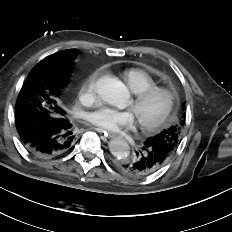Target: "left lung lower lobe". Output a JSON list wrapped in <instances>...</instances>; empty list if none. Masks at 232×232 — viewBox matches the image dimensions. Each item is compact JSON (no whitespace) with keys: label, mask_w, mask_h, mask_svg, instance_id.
Returning a JSON list of instances; mask_svg holds the SVG:
<instances>
[{"label":"left lung lower lobe","mask_w":232,"mask_h":232,"mask_svg":"<svg viewBox=\"0 0 232 232\" xmlns=\"http://www.w3.org/2000/svg\"><path fill=\"white\" fill-rule=\"evenodd\" d=\"M170 157L171 153L165 147L146 140L136 151L133 160L119 163V168L130 176H147L161 169Z\"/></svg>","instance_id":"obj_1"}]
</instances>
